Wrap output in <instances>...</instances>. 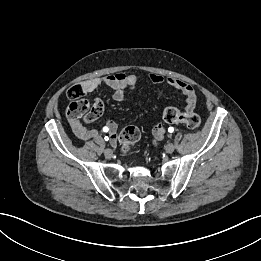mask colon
Segmentation results:
<instances>
[{
  "label": "colon",
  "mask_w": 261,
  "mask_h": 261,
  "mask_svg": "<svg viewBox=\"0 0 261 261\" xmlns=\"http://www.w3.org/2000/svg\"><path fill=\"white\" fill-rule=\"evenodd\" d=\"M85 95L80 84L73 85L67 91V96L73 100L69 107V113L74 117H85L87 121L98 119L103 109L97 100L87 101L82 99ZM163 120L166 123H183L190 129H196L201 125V118L194 112H181L175 107H168L163 112ZM140 131L135 126L125 127L120 135V149L128 153L140 139Z\"/></svg>",
  "instance_id": "1"
}]
</instances>
